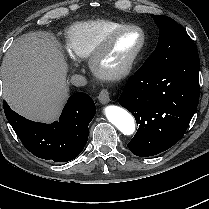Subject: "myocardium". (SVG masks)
I'll return each instance as SVG.
<instances>
[{"instance_id":"obj_1","label":"myocardium","mask_w":209,"mask_h":209,"mask_svg":"<svg viewBox=\"0 0 209 209\" xmlns=\"http://www.w3.org/2000/svg\"><path fill=\"white\" fill-rule=\"evenodd\" d=\"M129 31H137L141 34V43L135 52L118 68L109 69L104 66V61L115 41L122 33ZM147 43V35L143 28L137 25H123L114 28L103 39L96 51L90 59V68L94 75L102 80L114 81L120 80L128 76L135 68L139 58L141 57Z\"/></svg>"}]
</instances>
